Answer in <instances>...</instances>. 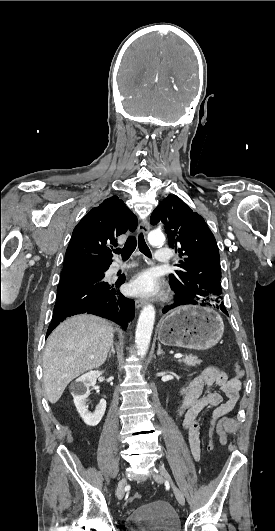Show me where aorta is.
Masks as SVG:
<instances>
[{
	"instance_id": "aorta-1",
	"label": "aorta",
	"mask_w": 275,
	"mask_h": 531,
	"mask_svg": "<svg viewBox=\"0 0 275 531\" xmlns=\"http://www.w3.org/2000/svg\"><path fill=\"white\" fill-rule=\"evenodd\" d=\"M163 239L164 235L161 233V231H151L149 235V241L151 245H157V243H160V241H163ZM155 315L156 313L153 305H146V307H143L139 315L135 333V343L137 355H139L141 359H144L148 353L154 327Z\"/></svg>"
}]
</instances>
